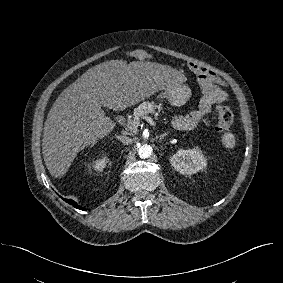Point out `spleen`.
<instances>
[{
	"instance_id": "obj_1",
	"label": "spleen",
	"mask_w": 283,
	"mask_h": 283,
	"mask_svg": "<svg viewBox=\"0 0 283 283\" xmlns=\"http://www.w3.org/2000/svg\"><path fill=\"white\" fill-rule=\"evenodd\" d=\"M235 143V136L231 132H228L224 135L222 144L225 146V148L232 149L235 147Z\"/></svg>"
}]
</instances>
